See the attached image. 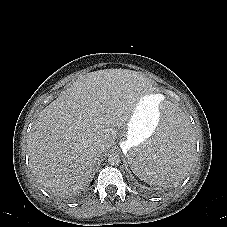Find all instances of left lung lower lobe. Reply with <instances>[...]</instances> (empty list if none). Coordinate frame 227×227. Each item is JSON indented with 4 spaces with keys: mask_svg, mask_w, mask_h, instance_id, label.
Segmentation results:
<instances>
[{
    "mask_svg": "<svg viewBox=\"0 0 227 227\" xmlns=\"http://www.w3.org/2000/svg\"><path fill=\"white\" fill-rule=\"evenodd\" d=\"M177 124H178V121H177ZM176 124V126H177ZM188 141V136H184V135H181L180 133H176L175 134V140H174V144L173 146L170 148L171 151H175L176 148L178 149L179 147H181L183 144L187 143Z\"/></svg>",
    "mask_w": 227,
    "mask_h": 227,
    "instance_id": "1",
    "label": "left lung lower lobe"
}]
</instances>
